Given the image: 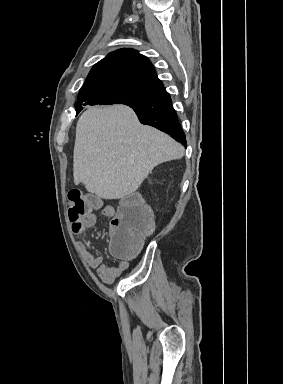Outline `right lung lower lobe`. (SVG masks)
Listing matches in <instances>:
<instances>
[{
  "label": "right lung lower lobe",
  "mask_w": 283,
  "mask_h": 384,
  "mask_svg": "<svg viewBox=\"0 0 283 384\" xmlns=\"http://www.w3.org/2000/svg\"><path fill=\"white\" fill-rule=\"evenodd\" d=\"M130 107L135 111L142 124L153 126L169 134L185 147L187 146L185 134L172 106V100L164 87L157 92L152 102Z\"/></svg>",
  "instance_id": "obj_1"
}]
</instances>
